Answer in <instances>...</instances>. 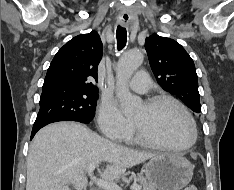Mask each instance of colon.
<instances>
[{
  "mask_svg": "<svg viewBox=\"0 0 234 190\" xmlns=\"http://www.w3.org/2000/svg\"><path fill=\"white\" fill-rule=\"evenodd\" d=\"M184 190H197L195 186L193 185H188L184 188Z\"/></svg>",
  "mask_w": 234,
  "mask_h": 190,
  "instance_id": "1",
  "label": "colon"
}]
</instances>
